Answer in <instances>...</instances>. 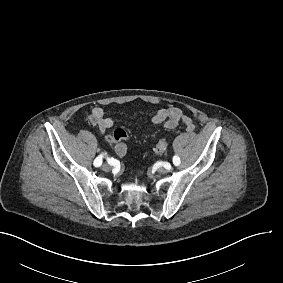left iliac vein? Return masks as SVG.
Masks as SVG:
<instances>
[{"mask_svg":"<svg viewBox=\"0 0 283 283\" xmlns=\"http://www.w3.org/2000/svg\"><path fill=\"white\" fill-rule=\"evenodd\" d=\"M158 171H159L160 173H166V172H168V170H167L166 168H164V167H160V168L158 169Z\"/></svg>","mask_w":283,"mask_h":283,"instance_id":"left-iliac-vein-1","label":"left iliac vein"}]
</instances>
